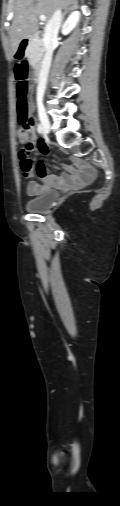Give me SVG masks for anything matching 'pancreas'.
Wrapping results in <instances>:
<instances>
[{"label":"pancreas","instance_id":"cf45deb5","mask_svg":"<svg viewBox=\"0 0 120 506\" xmlns=\"http://www.w3.org/2000/svg\"><path fill=\"white\" fill-rule=\"evenodd\" d=\"M44 53L43 42L40 38L33 37L26 50V56L31 63L41 60Z\"/></svg>","mask_w":120,"mask_h":506}]
</instances>
